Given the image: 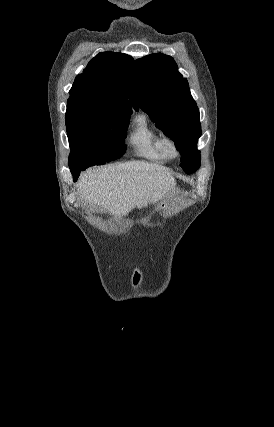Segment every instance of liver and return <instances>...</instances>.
<instances>
[{"label": "liver", "mask_w": 274, "mask_h": 427, "mask_svg": "<svg viewBox=\"0 0 274 427\" xmlns=\"http://www.w3.org/2000/svg\"><path fill=\"white\" fill-rule=\"evenodd\" d=\"M174 186L175 180L164 166L147 162L88 168L77 184L81 200L115 217L128 215L135 206L145 208L163 200Z\"/></svg>", "instance_id": "obj_1"}]
</instances>
